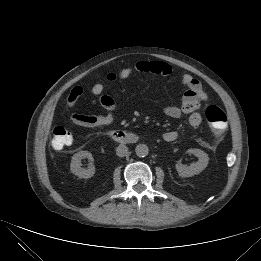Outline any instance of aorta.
Listing matches in <instances>:
<instances>
[{
	"label": "aorta",
	"instance_id": "1",
	"mask_svg": "<svg viewBox=\"0 0 261 261\" xmlns=\"http://www.w3.org/2000/svg\"><path fill=\"white\" fill-rule=\"evenodd\" d=\"M135 152H136V155L138 157H145L148 155L149 153V149H148V146L145 145V144H139L136 146L135 148Z\"/></svg>",
	"mask_w": 261,
	"mask_h": 261
}]
</instances>
